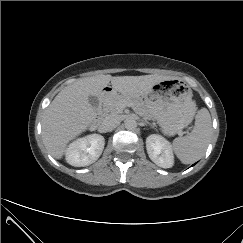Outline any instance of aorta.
Segmentation results:
<instances>
[{
  "label": "aorta",
  "mask_w": 243,
  "mask_h": 243,
  "mask_svg": "<svg viewBox=\"0 0 243 243\" xmlns=\"http://www.w3.org/2000/svg\"><path fill=\"white\" fill-rule=\"evenodd\" d=\"M137 125L138 123L135 119L130 118L125 121V127L127 130H135Z\"/></svg>",
  "instance_id": "aorta-1"
}]
</instances>
